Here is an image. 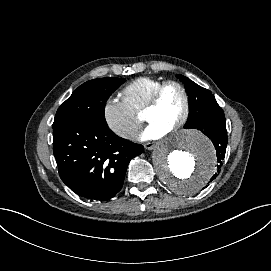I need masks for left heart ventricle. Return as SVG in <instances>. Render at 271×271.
Instances as JSON below:
<instances>
[{"label":"left heart ventricle","instance_id":"left-heart-ventricle-1","mask_svg":"<svg viewBox=\"0 0 271 271\" xmlns=\"http://www.w3.org/2000/svg\"><path fill=\"white\" fill-rule=\"evenodd\" d=\"M185 111V97L175 85L167 86L160 99L158 108L149 111L144 117L148 123H156L170 131Z\"/></svg>","mask_w":271,"mask_h":271}]
</instances>
